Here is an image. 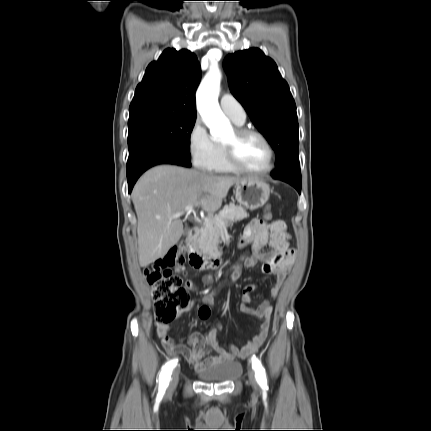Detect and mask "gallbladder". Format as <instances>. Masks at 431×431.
<instances>
[{
	"label": "gallbladder",
	"instance_id": "bac80fb5",
	"mask_svg": "<svg viewBox=\"0 0 431 431\" xmlns=\"http://www.w3.org/2000/svg\"><path fill=\"white\" fill-rule=\"evenodd\" d=\"M187 233H188V229H185L184 230V235H187Z\"/></svg>",
	"mask_w": 431,
	"mask_h": 431
}]
</instances>
